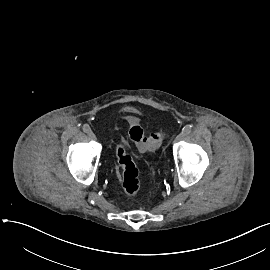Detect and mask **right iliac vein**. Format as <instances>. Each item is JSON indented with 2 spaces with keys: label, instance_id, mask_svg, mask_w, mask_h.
<instances>
[{
  "label": "right iliac vein",
  "instance_id": "63e3f726",
  "mask_svg": "<svg viewBox=\"0 0 270 270\" xmlns=\"http://www.w3.org/2000/svg\"><path fill=\"white\" fill-rule=\"evenodd\" d=\"M88 135H89L90 139H92V140H95L96 139V135L92 131H90L88 133Z\"/></svg>",
  "mask_w": 270,
  "mask_h": 270
}]
</instances>
